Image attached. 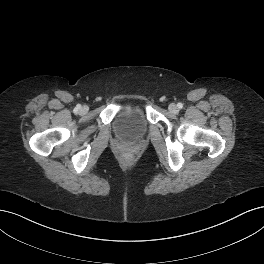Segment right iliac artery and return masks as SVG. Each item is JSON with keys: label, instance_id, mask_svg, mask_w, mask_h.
Segmentation results:
<instances>
[{"label": "right iliac artery", "instance_id": "82829eb1", "mask_svg": "<svg viewBox=\"0 0 264 264\" xmlns=\"http://www.w3.org/2000/svg\"><path fill=\"white\" fill-rule=\"evenodd\" d=\"M80 108H81V106L80 105H77L76 106V111L79 110Z\"/></svg>", "mask_w": 264, "mask_h": 264}]
</instances>
